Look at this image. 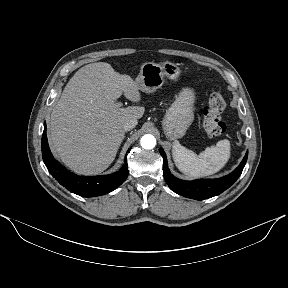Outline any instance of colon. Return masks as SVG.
Returning <instances> with one entry per match:
<instances>
[{
    "instance_id": "1",
    "label": "colon",
    "mask_w": 288,
    "mask_h": 288,
    "mask_svg": "<svg viewBox=\"0 0 288 288\" xmlns=\"http://www.w3.org/2000/svg\"><path fill=\"white\" fill-rule=\"evenodd\" d=\"M226 102L218 92H212L206 106L203 108V128L210 138H216L224 134L226 125L222 114Z\"/></svg>"
}]
</instances>
